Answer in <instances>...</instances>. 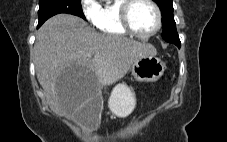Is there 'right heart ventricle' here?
Instances as JSON below:
<instances>
[{
  "mask_svg": "<svg viewBox=\"0 0 227 142\" xmlns=\"http://www.w3.org/2000/svg\"><path fill=\"white\" fill-rule=\"evenodd\" d=\"M123 0H114L100 7L96 27L103 33L114 36H125L128 32L120 22V6Z\"/></svg>",
  "mask_w": 227,
  "mask_h": 142,
  "instance_id": "e07e8e85",
  "label": "right heart ventricle"
}]
</instances>
